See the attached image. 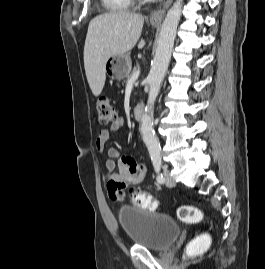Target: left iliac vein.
<instances>
[{
    "label": "left iliac vein",
    "instance_id": "obj_1",
    "mask_svg": "<svg viewBox=\"0 0 265 269\" xmlns=\"http://www.w3.org/2000/svg\"><path fill=\"white\" fill-rule=\"evenodd\" d=\"M164 177H165V185L167 187H174L175 181L173 180L170 171L168 169H164L163 171Z\"/></svg>",
    "mask_w": 265,
    "mask_h": 269
}]
</instances>
